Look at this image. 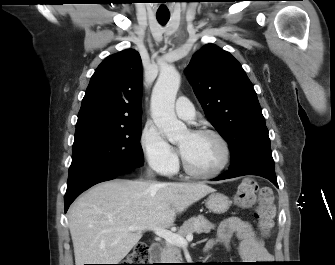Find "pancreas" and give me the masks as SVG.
Returning a JSON list of instances; mask_svg holds the SVG:
<instances>
[{"label": "pancreas", "mask_w": 335, "mask_h": 265, "mask_svg": "<svg viewBox=\"0 0 335 265\" xmlns=\"http://www.w3.org/2000/svg\"><path fill=\"white\" fill-rule=\"evenodd\" d=\"M214 228V224L209 222L206 218H204V216L199 215L185 221L178 230V234L181 236H187L188 234H192L194 232L198 234L209 233L211 229ZM161 260L164 263H180L182 260L180 247L178 245L166 242L161 253Z\"/></svg>", "instance_id": "pancreas-1"}]
</instances>
